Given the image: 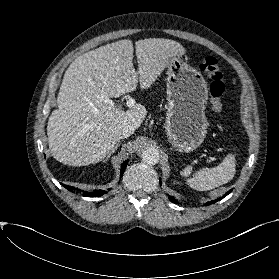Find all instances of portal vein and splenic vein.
<instances>
[{
  "instance_id": "portal-vein-and-splenic-vein-1",
  "label": "portal vein and splenic vein",
  "mask_w": 279,
  "mask_h": 279,
  "mask_svg": "<svg viewBox=\"0 0 279 279\" xmlns=\"http://www.w3.org/2000/svg\"><path fill=\"white\" fill-rule=\"evenodd\" d=\"M103 100H104L105 103L109 104L111 107H117L118 106V105H116V103L113 100H111L108 97L103 98ZM134 104H135V101L132 98L127 101V107H132V106H134Z\"/></svg>"
}]
</instances>
